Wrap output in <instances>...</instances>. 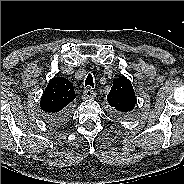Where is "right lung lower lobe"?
I'll use <instances>...</instances> for the list:
<instances>
[{
    "mask_svg": "<svg viewBox=\"0 0 184 184\" xmlns=\"http://www.w3.org/2000/svg\"><path fill=\"white\" fill-rule=\"evenodd\" d=\"M68 117V112L67 110L54 114V115H46V120L49 123H56V124H61L63 123Z\"/></svg>",
    "mask_w": 184,
    "mask_h": 184,
    "instance_id": "1",
    "label": "right lung lower lobe"
}]
</instances>
